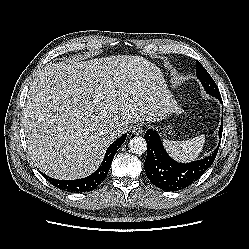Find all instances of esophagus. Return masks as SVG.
Instances as JSON below:
<instances>
[{"instance_id": "34e87169", "label": "esophagus", "mask_w": 249, "mask_h": 249, "mask_svg": "<svg viewBox=\"0 0 249 249\" xmlns=\"http://www.w3.org/2000/svg\"><path fill=\"white\" fill-rule=\"evenodd\" d=\"M131 132L134 134V135H139L143 132V128H142V124L140 123H137L135 125L132 126L131 128Z\"/></svg>"}]
</instances>
